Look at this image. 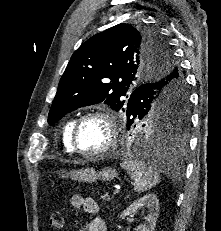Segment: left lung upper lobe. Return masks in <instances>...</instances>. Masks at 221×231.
I'll list each match as a JSON object with an SVG mask.
<instances>
[{
  "label": "left lung upper lobe",
  "instance_id": "1",
  "mask_svg": "<svg viewBox=\"0 0 221 231\" xmlns=\"http://www.w3.org/2000/svg\"><path fill=\"white\" fill-rule=\"evenodd\" d=\"M157 82L164 85L131 105L129 93L135 85ZM182 82L169 44L157 30L121 23L94 35L73 53L59 82L48 123H56L79 107L104 101L115 111L126 112L127 119L132 112L135 121L153 115L157 129L173 128L180 133L188 126V97ZM173 84L176 86L170 90ZM176 98L181 100L178 107L174 106Z\"/></svg>",
  "mask_w": 221,
  "mask_h": 231
}]
</instances>
